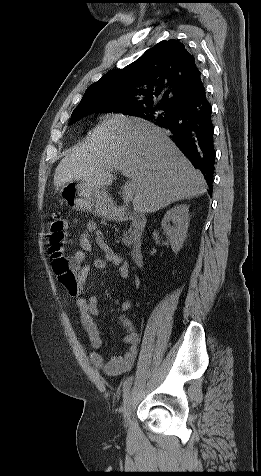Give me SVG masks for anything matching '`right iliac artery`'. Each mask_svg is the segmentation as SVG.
Returning <instances> with one entry per match:
<instances>
[{
	"label": "right iliac artery",
	"instance_id": "1",
	"mask_svg": "<svg viewBox=\"0 0 261 476\" xmlns=\"http://www.w3.org/2000/svg\"><path fill=\"white\" fill-rule=\"evenodd\" d=\"M132 380H133V376H130L127 378V380L124 382V385H123V395L125 397L126 393L129 391V388L132 384Z\"/></svg>",
	"mask_w": 261,
	"mask_h": 476
}]
</instances>
